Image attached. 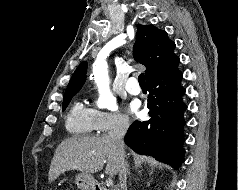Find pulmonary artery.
Here are the masks:
<instances>
[{"label": "pulmonary artery", "mask_w": 238, "mask_h": 190, "mask_svg": "<svg viewBox=\"0 0 238 190\" xmlns=\"http://www.w3.org/2000/svg\"><path fill=\"white\" fill-rule=\"evenodd\" d=\"M125 89L129 94L138 95L140 93V87L135 78H129L126 82Z\"/></svg>", "instance_id": "pulmonary-artery-1"}]
</instances>
